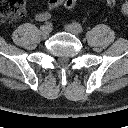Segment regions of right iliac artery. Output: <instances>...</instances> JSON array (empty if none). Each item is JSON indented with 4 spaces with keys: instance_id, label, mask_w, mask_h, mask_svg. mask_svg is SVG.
I'll return each mask as SVG.
<instances>
[{
    "instance_id": "82829eb1",
    "label": "right iliac artery",
    "mask_w": 128,
    "mask_h": 128,
    "mask_svg": "<svg viewBox=\"0 0 128 128\" xmlns=\"http://www.w3.org/2000/svg\"><path fill=\"white\" fill-rule=\"evenodd\" d=\"M45 26L49 27L51 29L52 23L51 22H46Z\"/></svg>"
}]
</instances>
